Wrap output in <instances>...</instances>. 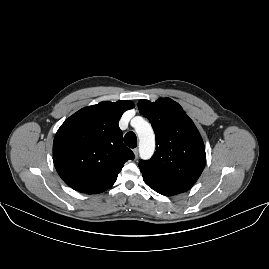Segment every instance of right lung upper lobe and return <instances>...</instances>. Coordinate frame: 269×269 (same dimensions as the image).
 Returning a JSON list of instances; mask_svg holds the SVG:
<instances>
[{
    "instance_id": "1",
    "label": "right lung upper lobe",
    "mask_w": 269,
    "mask_h": 269,
    "mask_svg": "<svg viewBox=\"0 0 269 269\" xmlns=\"http://www.w3.org/2000/svg\"><path fill=\"white\" fill-rule=\"evenodd\" d=\"M132 101H110L85 107L58 129L53 161L64 182L76 191L95 194L110 188L124 163L134 159L122 141L118 122Z\"/></svg>"
}]
</instances>
